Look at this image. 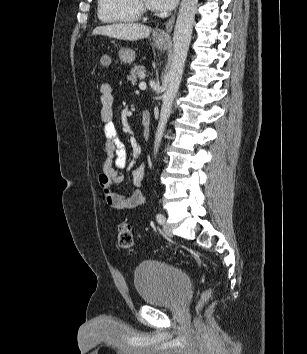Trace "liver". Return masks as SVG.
<instances>
[{
    "label": "liver",
    "instance_id": "6515ba94",
    "mask_svg": "<svg viewBox=\"0 0 307 354\" xmlns=\"http://www.w3.org/2000/svg\"><path fill=\"white\" fill-rule=\"evenodd\" d=\"M151 28L136 23H116L107 26H99L93 30V35H104L120 40L136 41L147 38Z\"/></svg>",
    "mask_w": 307,
    "mask_h": 354
}]
</instances>
